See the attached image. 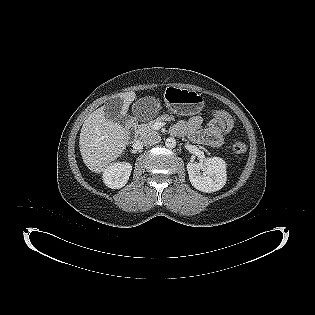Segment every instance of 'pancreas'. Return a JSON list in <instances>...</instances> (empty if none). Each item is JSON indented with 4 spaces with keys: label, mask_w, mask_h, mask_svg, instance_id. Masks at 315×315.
<instances>
[{
    "label": "pancreas",
    "mask_w": 315,
    "mask_h": 315,
    "mask_svg": "<svg viewBox=\"0 0 315 315\" xmlns=\"http://www.w3.org/2000/svg\"><path fill=\"white\" fill-rule=\"evenodd\" d=\"M170 120H173V116L162 115V116L156 118L155 120L150 121L147 124L139 125L137 130H136V133L139 135V138H141V139L145 138L147 135H150V134H158L153 128L154 122L170 121Z\"/></svg>",
    "instance_id": "pancreas-1"
}]
</instances>
